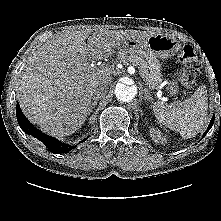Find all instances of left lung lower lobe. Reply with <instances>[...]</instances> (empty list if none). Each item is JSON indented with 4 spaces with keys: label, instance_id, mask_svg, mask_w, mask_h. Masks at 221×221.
Returning a JSON list of instances; mask_svg holds the SVG:
<instances>
[{
    "label": "left lung lower lobe",
    "instance_id": "0a47b994",
    "mask_svg": "<svg viewBox=\"0 0 221 221\" xmlns=\"http://www.w3.org/2000/svg\"><path fill=\"white\" fill-rule=\"evenodd\" d=\"M214 120H215V118H214V116L212 117V119H211V122H210V124H209V126H208V128H207V131L203 134V137L207 134V132L211 129V127H212V125H213V123H214Z\"/></svg>",
    "mask_w": 221,
    "mask_h": 221
}]
</instances>
